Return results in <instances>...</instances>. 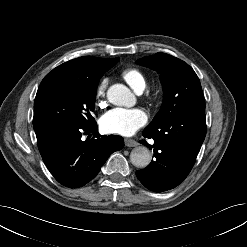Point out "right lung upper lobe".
Masks as SVG:
<instances>
[{
    "instance_id": "1",
    "label": "right lung upper lobe",
    "mask_w": 247,
    "mask_h": 247,
    "mask_svg": "<svg viewBox=\"0 0 247 247\" xmlns=\"http://www.w3.org/2000/svg\"><path fill=\"white\" fill-rule=\"evenodd\" d=\"M114 60L115 58L79 57L57 66L42 81L67 79L96 84Z\"/></svg>"
}]
</instances>
